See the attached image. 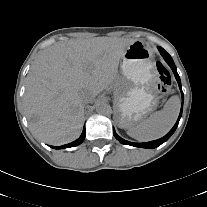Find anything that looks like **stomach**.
<instances>
[{
  "mask_svg": "<svg viewBox=\"0 0 207 207\" xmlns=\"http://www.w3.org/2000/svg\"><path fill=\"white\" fill-rule=\"evenodd\" d=\"M121 60L122 76L115 85L114 119L120 128L127 129L156 104L153 93L156 70L152 51L140 40L124 51Z\"/></svg>",
  "mask_w": 207,
  "mask_h": 207,
  "instance_id": "1",
  "label": "stomach"
}]
</instances>
